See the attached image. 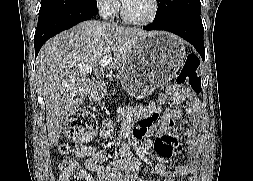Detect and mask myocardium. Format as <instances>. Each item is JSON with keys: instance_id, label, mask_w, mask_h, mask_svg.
Here are the masks:
<instances>
[{"instance_id": "obj_1", "label": "myocardium", "mask_w": 253, "mask_h": 181, "mask_svg": "<svg viewBox=\"0 0 253 181\" xmlns=\"http://www.w3.org/2000/svg\"><path fill=\"white\" fill-rule=\"evenodd\" d=\"M152 4H153V8H152V12H151L150 16L146 19H143V20H137V19H133L132 17H130L127 14L126 9L123 4V1H121V16H122L123 20L130 25L148 26L155 21V19L158 16L159 8H160L159 0H152Z\"/></svg>"}]
</instances>
